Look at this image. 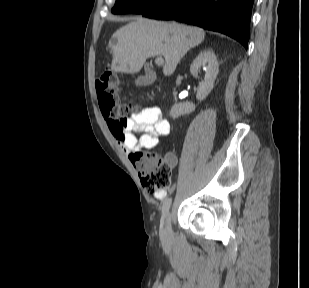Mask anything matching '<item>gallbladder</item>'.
I'll return each instance as SVG.
<instances>
[{
  "mask_svg": "<svg viewBox=\"0 0 309 288\" xmlns=\"http://www.w3.org/2000/svg\"><path fill=\"white\" fill-rule=\"evenodd\" d=\"M156 79V74L155 72L151 71L150 69L146 70V74L144 76H139L135 80V84L137 86H147L152 84Z\"/></svg>",
  "mask_w": 309,
  "mask_h": 288,
  "instance_id": "gallbladder-1",
  "label": "gallbladder"
}]
</instances>
